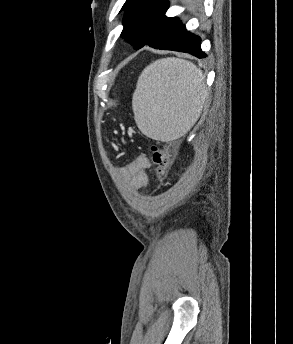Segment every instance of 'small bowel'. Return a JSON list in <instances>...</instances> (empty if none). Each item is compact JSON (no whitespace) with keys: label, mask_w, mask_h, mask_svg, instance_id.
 Masks as SVG:
<instances>
[{"label":"small bowel","mask_w":293,"mask_h":344,"mask_svg":"<svg viewBox=\"0 0 293 344\" xmlns=\"http://www.w3.org/2000/svg\"><path fill=\"white\" fill-rule=\"evenodd\" d=\"M150 167V162L145 155L137 156L124 170L123 174L130 188L141 190L147 186L145 170Z\"/></svg>","instance_id":"obj_1"}]
</instances>
